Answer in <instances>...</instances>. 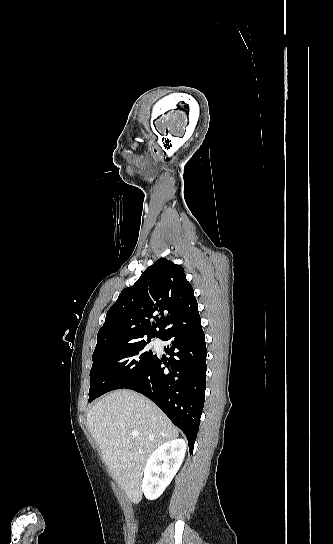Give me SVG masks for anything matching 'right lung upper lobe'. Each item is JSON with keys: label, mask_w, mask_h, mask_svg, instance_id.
<instances>
[{"label": "right lung upper lobe", "mask_w": 333, "mask_h": 544, "mask_svg": "<svg viewBox=\"0 0 333 544\" xmlns=\"http://www.w3.org/2000/svg\"><path fill=\"white\" fill-rule=\"evenodd\" d=\"M197 306L183 267L161 258L134 285L122 290L106 314L95 350L146 337L160 338L172 326L199 314ZM152 318L156 322H150Z\"/></svg>", "instance_id": "right-lung-upper-lobe-1"}]
</instances>
